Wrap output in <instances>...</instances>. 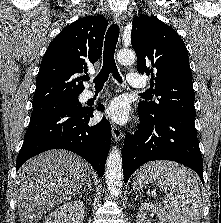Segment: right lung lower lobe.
Wrapping results in <instances>:
<instances>
[{
    "label": "right lung lower lobe",
    "mask_w": 221,
    "mask_h": 223,
    "mask_svg": "<svg viewBox=\"0 0 221 223\" xmlns=\"http://www.w3.org/2000/svg\"><path fill=\"white\" fill-rule=\"evenodd\" d=\"M103 105L98 109L103 111ZM93 109L55 111L31 118L19 151L16 170L29 158L50 149H66L86 159L102 177L110 150L111 125L105 118L94 126L88 122Z\"/></svg>",
    "instance_id": "1"
}]
</instances>
